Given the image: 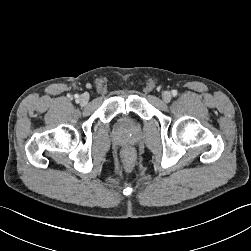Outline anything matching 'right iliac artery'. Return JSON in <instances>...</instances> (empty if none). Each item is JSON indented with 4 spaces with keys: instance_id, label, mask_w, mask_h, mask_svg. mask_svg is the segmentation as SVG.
<instances>
[{
    "instance_id": "obj_1",
    "label": "right iliac artery",
    "mask_w": 251,
    "mask_h": 251,
    "mask_svg": "<svg viewBox=\"0 0 251 251\" xmlns=\"http://www.w3.org/2000/svg\"><path fill=\"white\" fill-rule=\"evenodd\" d=\"M75 98H76V99H78V98H79V96H78V95H75Z\"/></svg>"
}]
</instances>
